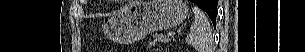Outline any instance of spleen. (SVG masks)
<instances>
[{"label": "spleen", "instance_id": "1", "mask_svg": "<svg viewBox=\"0 0 305 52\" xmlns=\"http://www.w3.org/2000/svg\"><path fill=\"white\" fill-rule=\"evenodd\" d=\"M195 19L191 25L186 42L197 52H213V38L210 23L201 9L192 8Z\"/></svg>", "mask_w": 305, "mask_h": 52}]
</instances>
